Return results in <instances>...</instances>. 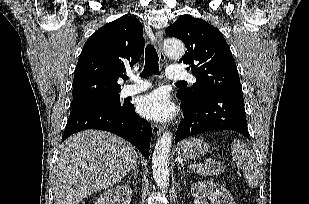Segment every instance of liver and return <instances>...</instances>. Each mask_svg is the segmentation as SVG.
Masks as SVG:
<instances>
[{
  "mask_svg": "<svg viewBox=\"0 0 309 204\" xmlns=\"http://www.w3.org/2000/svg\"><path fill=\"white\" fill-rule=\"evenodd\" d=\"M138 158L137 149L109 132L85 130L66 139L53 175L54 204H79L119 182Z\"/></svg>",
  "mask_w": 309,
  "mask_h": 204,
  "instance_id": "6515ba94",
  "label": "liver"
}]
</instances>
